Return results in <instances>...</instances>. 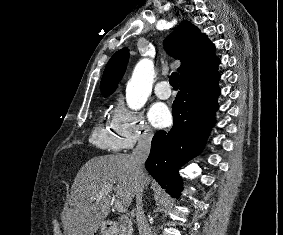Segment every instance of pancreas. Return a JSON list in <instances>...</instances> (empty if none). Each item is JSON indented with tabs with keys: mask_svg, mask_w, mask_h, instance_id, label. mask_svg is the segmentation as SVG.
<instances>
[{
	"mask_svg": "<svg viewBox=\"0 0 283 235\" xmlns=\"http://www.w3.org/2000/svg\"><path fill=\"white\" fill-rule=\"evenodd\" d=\"M120 223L121 225L119 235H132L133 228L131 220L127 217H121Z\"/></svg>",
	"mask_w": 283,
	"mask_h": 235,
	"instance_id": "pancreas-1",
	"label": "pancreas"
}]
</instances>
